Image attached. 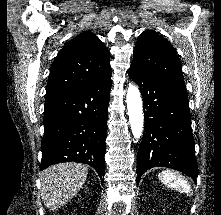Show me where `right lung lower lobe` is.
I'll use <instances>...</instances> for the list:
<instances>
[{
  "mask_svg": "<svg viewBox=\"0 0 221 215\" xmlns=\"http://www.w3.org/2000/svg\"><path fill=\"white\" fill-rule=\"evenodd\" d=\"M111 75L64 98L45 103L40 170L59 162L91 165L104 176ZM103 181V180H102Z\"/></svg>",
  "mask_w": 221,
  "mask_h": 215,
  "instance_id": "1",
  "label": "right lung lower lobe"
}]
</instances>
